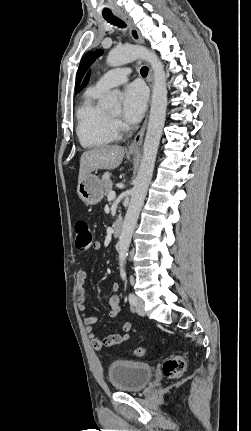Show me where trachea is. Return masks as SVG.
Listing matches in <instances>:
<instances>
[{
  "mask_svg": "<svg viewBox=\"0 0 251 431\" xmlns=\"http://www.w3.org/2000/svg\"><path fill=\"white\" fill-rule=\"evenodd\" d=\"M103 17L111 24L117 25L119 27H125V23L116 18L113 14L108 13L104 14ZM140 73L142 76H146L148 74V67L144 66L141 68Z\"/></svg>",
  "mask_w": 251,
  "mask_h": 431,
  "instance_id": "1",
  "label": "trachea"
}]
</instances>
